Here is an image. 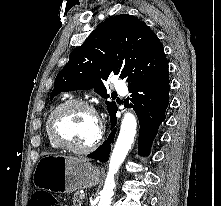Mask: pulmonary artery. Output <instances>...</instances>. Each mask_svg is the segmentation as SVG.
Returning a JSON list of instances; mask_svg holds the SVG:
<instances>
[{"label":"pulmonary artery","mask_w":221,"mask_h":206,"mask_svg":"<svg viewBox=\"0 0 221 206\" xmlns=\"http://www.w3.org/2000/svg\"><path fill=\"white\" fill-rule=\"evenodd\" d=\"M113 86L121 94H124L126 91L125 83L120 79H114Z\"/></svg>","instance_id":"1"}]
</instances>
